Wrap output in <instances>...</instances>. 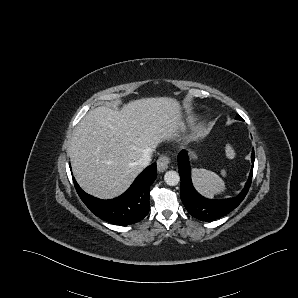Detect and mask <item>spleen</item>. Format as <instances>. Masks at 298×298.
I'll use <instances>...</instances> for the list:
<instances>
[{
	"label": "spleen",
	"instance_id": "obj_1",
	"mask_svg": "<svg viewBox=\"0 0 298 298\" xmlns=\"http://www.w3.org/2000/svg\"><path fill=\"white\" fill-rule=\"evenodd\" d=\"M225 153L228 159H233L235 157V151L230 144H226ZM191 174L196 190L208 198H213L214 195L220 194L225 190L224 181L215 172L203 168H193ZM221 175L223 177L226 176V171L224 169L221 170Z\"/></svg>",
	"mask_w": 298,
	"mask_h": 298
}]
</instances>
